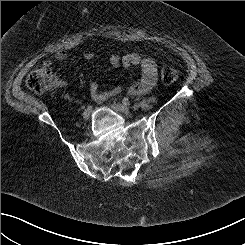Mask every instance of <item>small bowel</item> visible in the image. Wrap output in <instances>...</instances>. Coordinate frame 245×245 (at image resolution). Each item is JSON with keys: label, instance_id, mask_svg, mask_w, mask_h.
Masks as SVG:
<instances>
[{"label": "small bowel", "instance_id": "1", "mask_svg": "<svg viewBox=\"0 0 245 245\" xmlns=\"http://www.w3.org/2000/svg\"><path fill=\"white\" fill-rule=\"evenodd\" d=\"M67 57L66 52L61 51L55 55L56 61H63ZM93 53L86 52L85 58L91 59ZM110 62L112 65L123 64L127 68L139 67L141 71L140 79L137 82L130 84L126 87L125 91L129 95H142L150 92L157 81V64L149 57L137 54L130 53L125 55L112 54L110 56ZM50 61H45L43 65H50ZM90 95L93 100L96 102L102 103L109 99L112 96H115L122 92L123 88L121 86H115L111 89L105 91H99L98 86L95 82L91 81L89 85Z\"/></svg>", "mask_w": 245, "mask_h": 245}]
</instances>
